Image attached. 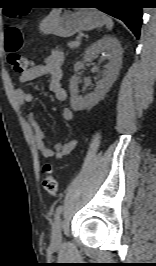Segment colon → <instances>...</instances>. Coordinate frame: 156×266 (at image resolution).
Instances as JSON below:
<instances>
[{
	"instance_id": "colon-1",
	"label": "colon",
	"mask_w": 156,
	"mask_h": 266,
	"mask_svg": "<svg viewBox=\"0 0 156 266\" xmlns=\"http://www.w3.org/2000/svg\"><path fill=\"white\" fill-rule=\"evenodd\" d=\"M24 44L22 31L15 26H8L5 30V50L8 53V61L12 69L17 73H23L31 66V60L19 53ZM45 177L43 188L53 197L58 196V184L54 176L53 167L46 163L43 166Z\"/></svg>"
}]
</instances>
